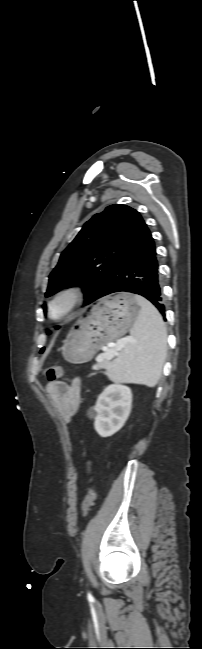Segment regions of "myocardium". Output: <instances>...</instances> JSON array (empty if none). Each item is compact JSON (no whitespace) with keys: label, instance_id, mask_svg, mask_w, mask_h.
<instances>
[{"label":"myocardium","instance_id":"myocardium-1","mask_svg":"<svg viewBox=\"0 0 202 649\" xmlns=\"http://www.w3.org/2000/svg\"><path fill=\"white\" fill-rule=\"evenodd\" d=\"M83 296V290L79 286L71 285L60 289L53 295L48 303L50 318L53 320H62L67 318L83 300ZM59 304L63 305V309L59 314H56L55 307Z\"/></svg>","mask_w":202,"mask_h":649}]
</instances>
